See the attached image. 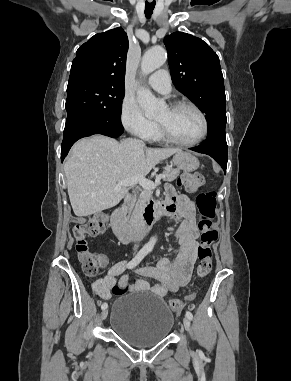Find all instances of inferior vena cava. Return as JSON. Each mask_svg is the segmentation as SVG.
Masks as SVG:
<instances>
[{
	"mask_svg": "<svg viewBox=\"0 0 291 381\" xmlns=\"http://www.w3.org/2000/svg\"><path fill=\"white\" fill-rule=\"evenodd\" d=\"M142 145H144V143L143 142H140ZM138 248V245H135L134 246V250H136Z\"/></svg>",
	"mask_w": 291,
	"mask_h": 381,
	"instance_id": "1",
	"label": "inferior vena cava"
}]
</instances>
